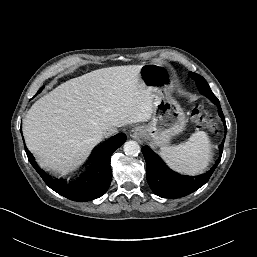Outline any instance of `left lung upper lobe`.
Masks as SVG:
<instances>
[{
  "mask_svg": "<svg viewBox=\"0 0 257 257\" xmlns=\"http://www.w3.org/2000/svg\"><path fill=\"white\" fill-rule=\"evenodd\" d=\"M189 75L192 79H194L196 81L197 87L201 91V93L206 95L214 104L220 105L219 100L213 94L208 83L202 76H200L196 73H193V72H190Z\"/></svg>",
  "mask_w": 257,
  "mask_h": 257,
  "instance_id": "5c2ea615",
  "label": "left lung upper lobe"
}]
</instances>
